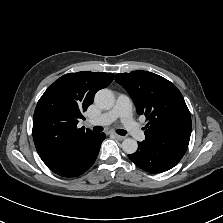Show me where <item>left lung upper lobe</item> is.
Segmentation results:
<instances>
[{
	"mask_svg": "<svg viewBox=\"0 0 223 223\" xmlns=\"http://www.w3.org/2000/svg\"><path fill=\"white\" fill-rule=\"evenodd\" d=\"M115 80L127 90L138 114L149 119L144 141L184 155L191 135V116L178 88L148 71L119 73Z\"/></svg>",
	"mask_w": 223,
	"mask_h": 223,
	"instance_id": "left-lung-upper-lobe-1",
	"label": "left lung upper lobe"
}]
</instances>
